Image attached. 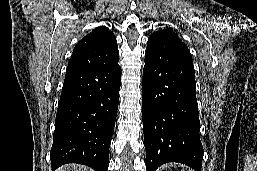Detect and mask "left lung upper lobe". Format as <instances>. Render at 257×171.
<instances>
[{
	"label": "left lung upper lobe",
	"instance_id": "1",
	"mask_svg": "<svg viewBox=\"0 0 257 171\" xmlns=\"http://www.w3.org/2000/svg\"><path fill=\"white\" fill-rule=\"evenodd\" d=\"M147 51L169 50L179 52L192 58L187 45L171 29H161L153 32L147 44Z\"/></svg>",
	"mask_w": 257,
	"mask_h": 171
}]
</instances>
